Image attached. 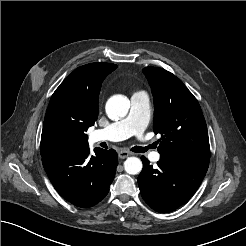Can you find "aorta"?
<instances>
[{"label":"aorta","mask_w":246,"mask_h":246,"mask_svg":"<svg viewBox=\"0 0 246 246\" xmlns=\"http://www.w3.org/2000/svg\"><path fill=\"white\" fill-rule=\"evenodd\" d=\"M130 108V102L125 96L117 95L110 98L106 103V112L111 118L125 117ZM142 161L137 157H129L124 162L125 171L135 175L142 170Z\"/></svg>","instance_id":"aorta-1"}]
</instances>
